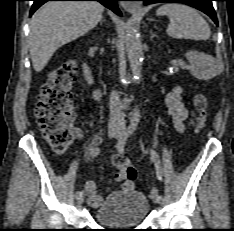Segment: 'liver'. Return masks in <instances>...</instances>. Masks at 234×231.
Masks as SVG:
<instances>
[{"instance_id": "obj_1", "label": "liver", "mask_w": 234, "mask_h": 231, "mask_svg": "<svg viewBox=\"0 0 234 231\" xmlns=\"http://www.w3.org/2000/svg\"><path fill=\"white\" fill-rule=\"evenodd\" d=\"M103 10L95 1H53L36 11L29 33L34 70L41 72L60 47L93 29L102 19Z\"/></svg>"}]
</instances>
